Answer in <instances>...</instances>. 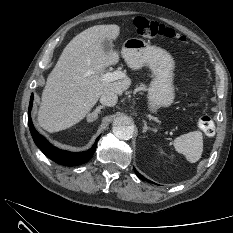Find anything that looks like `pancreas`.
Wrapping results in <instances>:
<instances>
[{
	"label": "pancreas",
	"instance_id": "cf45deb5",
	"mask_svg": "<svg viewBox=\"0 0 233 233\" xmlns=\"http://www.w3.org/2000/svg\"><path fill=\"white\" fill-rule=\"evenodd\" d=\"M138 90H146V86L144 84H140V86L137 88Z\"/></svg>",
	"mask_w": 233,
	"mask_h": 233
}]
</instances>
